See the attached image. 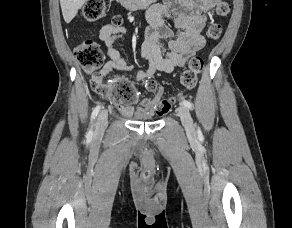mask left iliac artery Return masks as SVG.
I'll return each instance as SVG.
<instances>
[{
  "mask_svg": "<svg viewBox=\"0 0 292 228\" xmlns=\"http://www.w3.org/2000/svg\"><path fill=\"white\" fill-rule=\"evenodd\" d=\"M182 105H184L185 107H187L188 109H192V104H191V102L190 101H188V100H183L182 101ZM198 136L200 137V136H202V132H201V130H200V128H198Z\"/></svg>",
  "mask_w": 292,
  "mask_h": 228,
  "instance_id": "left-iliac-artery-1",
  "label": "left iliac artery"
}]
</instances>
